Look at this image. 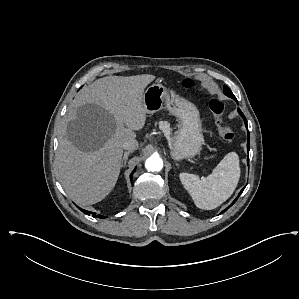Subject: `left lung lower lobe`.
Listing matches in <instances>:
<instances>
[{
  "mask_svg": "<svg viewBox=\"0 0 299 299\" xmlns=\"http://www.w3.org/2000/svg\"><path fill=\"white\" fill-rule=\"evenodd\" d=\"M233 99H236V97H233ZM238 113H239V114L242 116V118L244 119L245 126L247 127V120H246L244 114L241 112V110H240L239 108H238ZM247 129H248V128H247ZM249 149H250V135H249V131H248V143H247V150H248V153H249ZM247 162H248V165H249V157H248V159H247ZM243 190H244V188L240 191L239 195L243 192ZM236 200H237V199H235V200L232 202V204L235 203Z\"/></svg>",
  "mask_w": 299,
  "mask_h": 299,
  "instance_id": "0a47b994",
  "label": "left lung lower lobe"
}]
</instances>
